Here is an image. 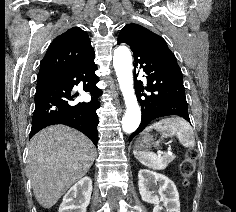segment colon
<instances>
[{"label": "colon", "mask_w": 236, "mask_h": 212, "mask_svg": "<svg viewBox=\"0 0 236 212\" xmlns=\"http://www.w3.org/2000/svg\"><path fill=\"white\" fill-rule=\"evenodd\" d=\"M197 153L195 150L188 151L186 158L181 162L179 171L185 185L195 172Z\"/></svg>", "instance_id": "5ec220e1"}]
</instances>
